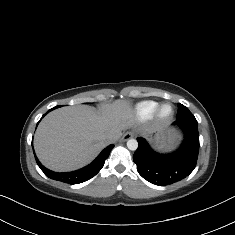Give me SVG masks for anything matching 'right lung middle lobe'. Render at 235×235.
Instances as JSON below:
<instances>
[{
	"label": "right lung middle lobe",
	"instance_id": "right-lung-middle-lobe-1",
	"mask_svg": "<svg viewBox=\"0 0 235 235\" xmlns=\"http://www.w3.org/2000/svg\"><path fill=\"white\" fill-rule=\"evenodd\" d=\"M58 107H60V106H56V107H54V109H55V108H58Z\"/></svg>",
	"mask_w": 235,
	"mask_h": 235
}]
</instances>
